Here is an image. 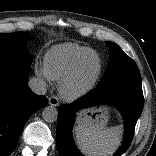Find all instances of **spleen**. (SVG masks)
<instances>
[{
  "mask_svg": "<svg viewBox=\"0 0 156 156\" xmlns=\"http://www.w3.org/2000/svg\"><path fill=\"white\" fill-rule=\"evenodd\" d=\"M76 141L87 156H109L121 142L120 127H104L92 123H80L75 128Z\"/></svg>",
  "mask_w": 156,
  "mask_h": 156,
  "instance_id": "3e777b00",
  "label": "spleen"
}]
</instances>
